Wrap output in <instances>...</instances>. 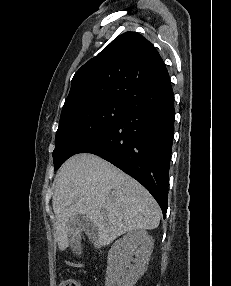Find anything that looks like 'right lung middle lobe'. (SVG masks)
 <instances>
[{"label": "right lung middle lobe", "instance_id": "obj_1", "mask_svg": "<svg viewBox=\"0 0 231 286\" xmlns=\"http://www.w3.org/2000/svg\"><path fill=\"white\" fill-rule=\"evenodd\" d=\"M126 113L125 102L104 101L62 116L53 152L55 170Z\"/></svg>", "mask_w": 231, "mask_h": 286}]
</instances>
